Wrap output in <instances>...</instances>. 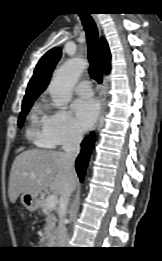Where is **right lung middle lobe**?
Masks as SVG:
<instances>
[{"mask_svg":"<svg viewBox=\"0 0 162 261\" xmlns=\"http://www.w3.org/2000/svg\"><path fill=\"white\" fill-rule=\"evenodd\" d=\"M35 99H32V100H27V101H24L22 103V111L19 115V120H18V126L19 127H22L23 123H24V119L28 113V111L30 110L33 102H34Z\"/></svg>","mask_w":162,"mask_h":261,"instance_id":"obj_1","label":"right lung middle lobe"}]
</instances>
